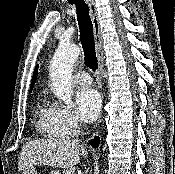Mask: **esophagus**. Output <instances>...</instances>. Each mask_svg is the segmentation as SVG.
I'll return each mask as SVG.
<instances>
[{
    "label": "esophagus",
    "mask_w": 175,
    "mask_h": 174,
    "mask_svg": "<svg viewBox=\"0 0 175 174\" xmlns=\"http://www.w3.org/2000/svg\"><path fill=\"white\" fill-rule=\"evenodd\" d=\"M86 3L89 6L90 15L93 23L95 48L98 59L99 72H101L104 63V51H103V39L101 36V29L97 16V10L93 0H86Z\"/></svg>",
    "instance_id": "1"
}]
</instances>
